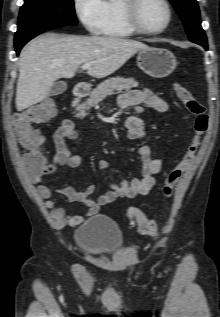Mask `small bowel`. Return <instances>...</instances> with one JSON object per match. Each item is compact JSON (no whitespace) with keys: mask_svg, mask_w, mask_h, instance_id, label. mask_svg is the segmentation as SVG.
Instances as JSON below:
<instances>
[{"mask_svg":"<svg viewBox=\"0 0 220 317\" xmlns=\"http://www.w3.org/2000/svg\"><path fill=\"white\" fill-rule=\"evenodd\" d=\"M142 105L149 106L154 110L164 113L167 103L148 88L134 89L122 94L119 98L121 108L135 107L136 113L126 119L127 135L130 139H141L145 135V126L143 120L138 116L142 110ZM76 140L78 133L72 120L66 119L53 133V142L55 145V155L51 162L45 163L41 170H35L25 163L23 164L28 171L31 182L34 184L38 195L45 201V205L50 209V215L56 228L65 226H74L82 223L87 217L96 214L102 206L114 202L120 198H134L136 196L147 195L155 185V175L161 169V161L154 158L147 145L138 148V155L141 160V176L127 181H112L111 190L93 200L91 196L95 193L96 187L91 185L84 190H76L71 186L61 188V192L66 195L70 201L80 202L86 207L82 215L68 214L64 207H58L57 201L53 197V191L45 185V177L57 171L60 166L76 168L81 164V158L72 154L66 147L65 139ZM110 163L106 159L98 161V168L107 170Z\"/></svg>","mask_w":220,"mask_h":317,"instance_id":"c3829d8e","label":"small bowel"}]
</instances>
